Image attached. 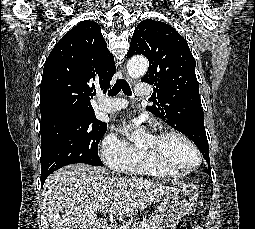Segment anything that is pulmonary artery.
<instances>
[{"instance_id":"obj_1","label":"pulmonary artery","mask_w":255,"mask_h":229,"mask_svg":"<svg viewBox=\"0 0 255 229\" xmlns=\"http://www.w3.org/2000/svg\"><path fill=\"white\" fill-rule=\"evenodd\" d=\"M152 93V86L148 84H138L135 87V95L137 96H149ZM128 102L122 98H110L107 101L103 102L99 109L102 112H115L126 108Z\"/></svg>"}]
</instances>
